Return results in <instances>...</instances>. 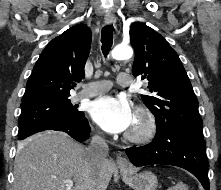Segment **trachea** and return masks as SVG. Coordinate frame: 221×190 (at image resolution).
<instances>
[{"label": "trachea", "instance_id": "3493384b", "mask_svg": "<svg viewBox=\"0 0 221 190\" xmlns=\"http://www.w3.org/2000/svg\"><path fill=\"white\" fill-rule=\"evenodd\" d=\"M101 49L105 57H107L113 44V26L107 25L101 31Z\"/></svg>", "mask_w": 221, "mask_h": 190}]
</instances>
